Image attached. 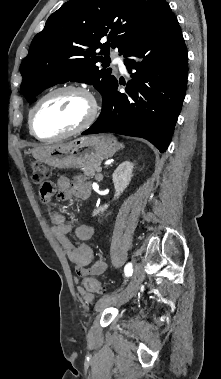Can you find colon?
Wrapping results in <instances>:
<instances>
[{
	"instance_id": "obj_1",
	"label": "colon",
	"mask_w": 221,
	"mask_h": 379,
	"mask_svg": "<svg viewBox=\"0 0 221 379\" xmlns=\"http://www.w3.org/2000/svg\"><path fill=\"white\" fill-rule=\"evenodd\" d=\"M50 177L51 171L46 165L39 162L32 164L31 178L33 183L39 186L40 195H46L51 190ZM83 285L88 292L101 293L103 291L101 283L93 277H85Z\"/></svg>"
}]
</instances>
